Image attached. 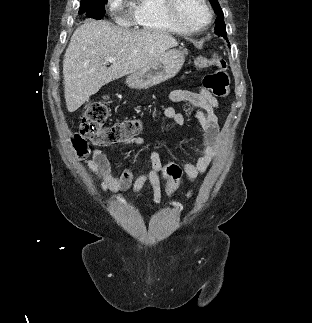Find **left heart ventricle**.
Returning <instances> with one entry per match:
<instances>
[{
  "mask_svg": "<svg viewBox=\"0 0 312 323\" xmlns=\"http://www.w3.org/2000/svg\"><path fill=\"white\" fill-rule=\"evenodd\" d=\"M175 13L180 14V18H207L208 7H203L200 0H175Z\"/></svg>",
  "mask_w": 312,
  "mask_h": 323,
  "instance_id": "1",
  "label": "left heart ventricle"
}]
</instances>
